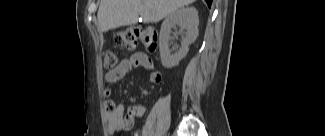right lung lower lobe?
<instances>
[{
  "mask_svg": "<svg viewBox=\"0 0 325 136\" xmlns=\"http://www.w3.org/2000/svg\"><path fill=\"white\" fill-rule=\"evenodd\" d=\"M209 7H211L212 0H205Z\"/></svg>",
  "mask_w": 325,
  "mask_h": 136,
  "instance_id": "obj_1",
  "label": "right lung lower lobe"
}]
</instances>
